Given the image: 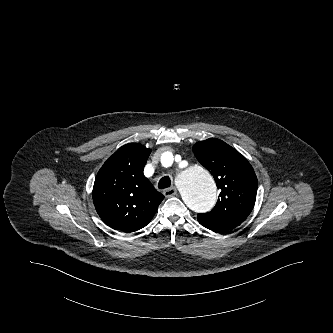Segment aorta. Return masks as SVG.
<instances>
[{
    "mask_svg": "<svg viewBox=\"0 0 333 333\" xmlns=\"http://www.w3.org/2000/svg\"><path fill=\"white\" fill-rule=\"evenodd\" d=\"M171 157V152L164 154ZM178 188L186 206L196 213L210 211L217 200V190L213 177L203 167L189 163L182 171Z\"/></svg>",
    "mask_w": 333,
    "mask_h": 333,
    "instance_id": "aorta-1",
    "label": "aorta"
}]
</instances>
